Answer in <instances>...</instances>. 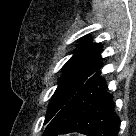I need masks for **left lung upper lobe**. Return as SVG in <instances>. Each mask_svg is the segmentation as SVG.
Returning <instances> with one entry per match:
<instances>
[{
	"mask_svg": "<svg viewBox=\"0 0 136 136\" xmlns=\"http://www.w3.org/2000/svg\"><path fill=\"white\" fill-rule=\"evenodd\" d=\"M75 50L72 58L63 66V76L52 96L45 123L51 119L73 98L84 83L101 67L99 44L93 43L87 36Z\"/></svg>",
	"mask_w": 136,
	"mask_h": 136,
	"instance_id": "5c2ea615",
	"label": "left lung upper lobe"
}]
</instances>
